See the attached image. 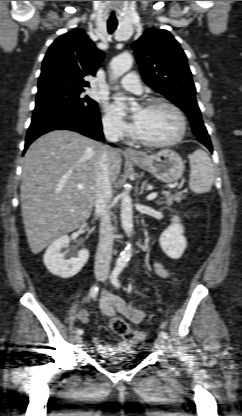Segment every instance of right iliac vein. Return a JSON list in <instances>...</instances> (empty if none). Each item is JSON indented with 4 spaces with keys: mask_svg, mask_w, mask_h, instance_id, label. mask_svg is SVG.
Listing matches in <instances>:
<instances>
[{
    "mask_svg": "<svg viewBox=\"0 0 242 416\" xmlns=\"http://www.w3.org/2000/svg\"><path fill=\"white\" fill-rule=\"evenodd\" d=\"M103 269H97L96 270V276L97 277H100V276H102L103 275ZM82 341H83V339H82V337L80 336V335H76L75 336V342L77 343V344H81L82 343Z\"/></svg>",
    "mask_w": 242,
    "mask_h": 416,
    "instance_id": "obj_1",
    "label": "right iliac vein"
}]
</instances>
